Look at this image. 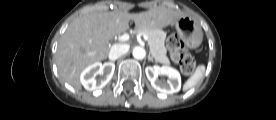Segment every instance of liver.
<instances>
[{
	"mask_svg": "<svg viewBox=\"0 0 276 120\" xmlns=\"http://www.w3.org/2000/svg\"><path fill=\"white\" fill-rule=\"evenodd\" d=\"M184 14L166 7L130 14L125 11H100L75 19L60 39L56 63L60 77L76 90H81L79 76L87 66L105 60L110 51L109 40L129 29V21L137 29H161Z\"/></svg>",
	"mask_w": 276,
	"mask_h": 120,
	"instance_id": "1",
	"label": "liver"
}]
</instances>
